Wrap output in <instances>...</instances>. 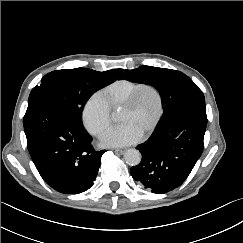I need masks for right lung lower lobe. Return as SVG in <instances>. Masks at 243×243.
<instances>
[{"label":"right lung lower lobe","mask_w":243,"mask_h":243,"mask_svg":"<svg viewBox=\"0 0 243 243\" xmlns=\"http://www.w3.org/2000/svg\"><path fill=\"white\" fill-rule=\"evenodd\" d=\"M27 147L43 180L63 194L89 189L106 150L96 151L92 137L65 109L33 101L23 118Z\"/></svg>","instance_id":"obj_1"}]
</instances>
